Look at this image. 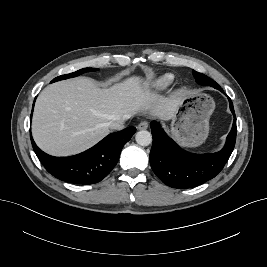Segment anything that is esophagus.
I'll return each instance as SVG.
<instances>
[{
    "mask_svg": "<svg viewBox=\"0 0 267 267\" xmlns=\"http://www.w3.org/2000/svg\"><path fill=\"white\" fill-rule=\"evenodd\" d=\"M148 126H149L148 121L143 120V121H141V122L138 124V129H139V130H145V129L148 128Z\"/></svg>",
    "mask_w": 267,
    "mask_h": 267,
    "instance_id": "obj_1",
    "label": "esophagus"
}]
</instances>
